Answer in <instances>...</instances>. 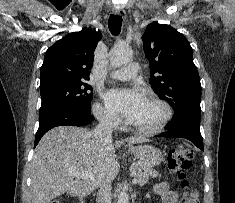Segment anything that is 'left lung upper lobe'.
<instances>
[{"mask_svg":"<svg viewBox=\"0 0 235 203\" xmlns=\"http://www.w3.org/2000/svg\"><path fill=\"white\" fill-rule=\"evenodd\" d=\"M150 62V84L175 112L174 118L188 113L201 116V84L188 40L166 24L150 23L142 36Z\"/></svg>","mask_w":235,"mask_h":203,"instance_id":"1","label":"left lung upper lobe"}]
</instances>
